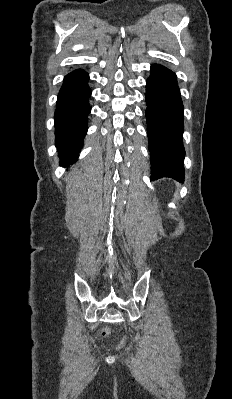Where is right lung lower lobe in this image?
Here are the masks:
<instances>
[{"mask_svg":"<svg viewBox=\"0 0 232 399\" xmlns=\"http://www.w3.org/2000/svg\"><path fill=\"white\" fill-rule=\"evenodd\" d=\"M88 79L85 71L75 70L65 76L58 94L54 119L56 146L62 166L73 164L83 146L88 128V114L91 110Z\"/></svg>","mask_w":232,"mask_h":399,"instance_id":"obj_1","label":"right lung lower lobe"}]
</instances>
